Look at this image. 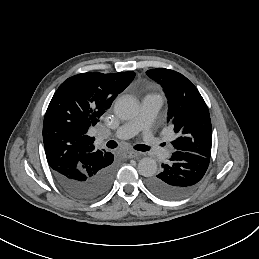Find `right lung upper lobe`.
Listing matches in <instances>:
<instances>
[{
    "label": "right lung upper lobe",
    "instance_id": "cb5924a9",
    "mask_svg": "<svg viewBox=\"0 0 259 259\" xmlns=\"http://www.w3.org/2000/svg\"><path fill=\"white\" fill-rule=\"evenodd\" d=\"M134 76L132 71L81 73L59 86L43 122L44 149L54 171L79 174L88 166L102 162L107 152L95 148V138L88 136V129L95 126Z\"/></svg>",
    "mask_w": 259,
    "mask_h": 259
}]
</instances>
